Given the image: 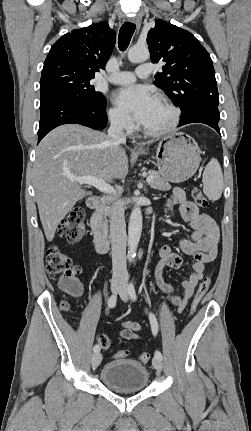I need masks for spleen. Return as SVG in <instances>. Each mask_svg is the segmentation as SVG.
Returning a JSON list of instances; mask_svg holds the SVG:
<instances>
[{
  "instance_id": "3e777b00",
  "label": "spleen",
  "mask_w": 251,
  "mask_h": 431,
  "mask_svg": "<svg viewBox=\"0 0 251 431\" xmlns=\"http://www.w3.org/2000/svg\"><path fill=\"white\" fill-rule=\"evenodd\" d=\"M203 192L210 200H218L223 190V174L217 159L213 158L203 172Z\"/></svg>"
}]
</instances>
